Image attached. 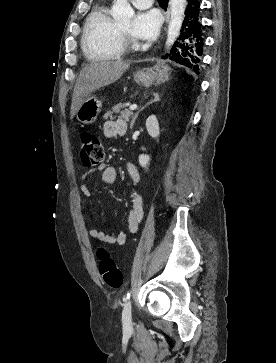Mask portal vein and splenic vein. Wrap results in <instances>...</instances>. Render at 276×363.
Wrapping results in <instances>:
<instances>
[{
  "label": "portal vein and splenic vein",
  "mask_w": 276,
  "mask_h": 363,
  "mask_svg": "<svg viewBox=\"0 0 276 363\" xmlns=\"http://www.w3.org/2000/svg\"><path fill=\"white\" fill-rule=\"evenodd\" d=\"M129 109H130L131 111H134V110H136V109H137V105H136V104H132V105H130Z\"/></svg>",
  "instance_id": "obj_1"
}]
</instances>
